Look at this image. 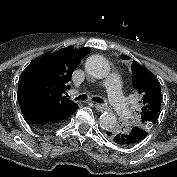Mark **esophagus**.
I'll return each instance as SVG.
<instances>
[{"instance_id": "esophagus-1", "label": "esophagus", "mask_w": 177, "mask_h": 177, "mask_svg": "<svg viewBox=\"0 0 177 177\" xmlns=\"http://www.w3.org/2000/svg\"><path fill=\"white\" fill-rule=\"evenodd\" d=\"M94 106L97 110H100V111H104L107 109V105L98 103V102H94Z\"/></svg>"}]
</instances>
